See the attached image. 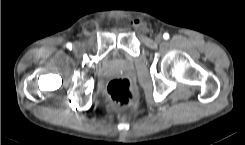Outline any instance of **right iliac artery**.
<instances>
[{
  "instance_id": "right-iliac-artery-1",
  "label": "right iliac artery",
  "mask_w": 245,
  "mask_h": 145,
  "mask_svg": "<svg viewBox=\"0 0 245 145\" xmlns=\"http://www.w3.org/2000/svg\"><path fill=\"white\" fill-rule=\"evenodd\" d=\"M67 48L71 49L72 48V44L71 43H67Z\"/></svg>"
}]
</instances>
